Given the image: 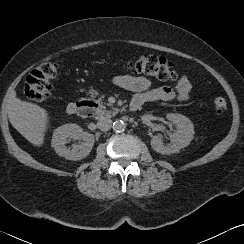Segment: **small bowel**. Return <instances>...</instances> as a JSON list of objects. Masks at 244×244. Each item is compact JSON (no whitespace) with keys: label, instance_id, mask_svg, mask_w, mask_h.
Here are the masks:
<instances>
[{"label":"small bowel","instance_id":"c3829d8e","mask_svg":"<svg viewBox=\"0 0 244 244\" xmlns=\"http://www.w3.org/2000/svg\"><path fill=\"white\" fill-rule=\"evenodd\" d=\"M113 84L134 92L132 104L135 109H139L148 102L187 101L191 91V83L186 76H182L174 88L162 86L151 88V81L145 77H136L130 75H120L113 78Z\"/></svg>","mask_w":244,"mask_h":244}]
</instances>
